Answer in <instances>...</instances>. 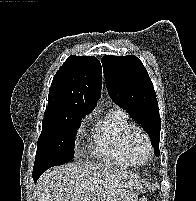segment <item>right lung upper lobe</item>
I'll return each mask as SVG.
<instances>
[{
    "label": "right lung upper lobe",
    "mask_w": 196,
    "mask_h": 201,
    "mask_svg": "<svg viewBox=\"0 0 196 201\" xmlns=\"http://www.w3.org/2000/svg\"><path fill=\"white\" fill-rule=\"evenodd\" d=\"M101 88L102 68L98 59L71 55L54 76L44 116L73 110L89 113L100 98Z\"/></svg>",
    "instance_id": "obj_1"
}]
</instances>
